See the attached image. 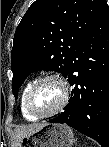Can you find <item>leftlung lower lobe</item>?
<instances>
[{
	"label": "left lung lower lobe",
	"mask_w": 109,
	"mask_h": 147,
	"mask_svg": "<svg viewBox=\"0 0 109 147\" xmlns=\"http://www.w3.org/2000/svg\"><path fill=\"white\" fill-rule=\"evenodd\" d=\"M73 86L62 115L50 120L65 123L109 145V7L103 9L80 41L67 76Z\"/></svg>",
	"instance_id": "left-lung-lower-lobe-1"
}]
</instances>
